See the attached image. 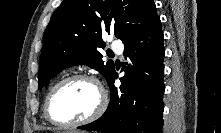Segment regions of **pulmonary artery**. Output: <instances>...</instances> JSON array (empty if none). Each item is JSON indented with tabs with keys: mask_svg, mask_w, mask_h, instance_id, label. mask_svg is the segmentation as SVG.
Returning <instances> with one entry per match:
<instances>
[{
	"mask_svg": "<svg viewBox=\"0 0 221 133\" xmlns=\"http://www.w3.org/2000/svg\"><path fill=\"white\" fill-rule=\"evenodd\" d=\"M111 48L113 51L117 52V53H122L123 51V45L121 42L115 41L111 44Z\"/></svg>",
	"mask_w": 221,
	"mask_h": 133,
	"instance_id": "e3ab8cb5",
	"label": "pulmonary artery"
}]
</instances>
